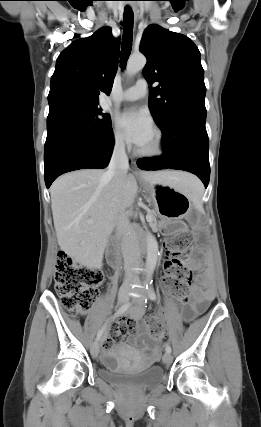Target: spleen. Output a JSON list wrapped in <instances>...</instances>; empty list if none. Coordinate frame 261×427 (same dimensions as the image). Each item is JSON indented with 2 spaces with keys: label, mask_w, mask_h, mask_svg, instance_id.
<instances>
[{
  "label": "spleen",
  "mask_w": 261,
  "mask_h": 427,
  "mask_svg": "<svg viewBox=\"0 0 261 427\" xmlns=\"http://www.w3.org/2000/svg\"><path fill=\"white\" fill-rule=\"evenodd\" d=\"M187 194L194 203H201L203 187L196 178L188 182Z\"/></svg>",
  "instance_id": "1"
}]
</instances>
